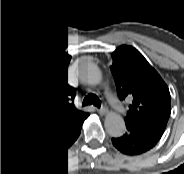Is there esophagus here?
I'll use <instances>...</instances> for the list:
<instances>
[{
	"label": "esophagus",
	"mask_w": 184,
	"mask_h": 174,
	"mask_svg": "<svg viewBox=\"0 0 184 174\" xmlns=\"http://www.w3.org/2000/svg\"><path fill=\"white\" fill-rule=\"evenodd\" d=\"M102 112H105L106 111V108L105 107H101L100 109Z\"/></svg>",
	"instance_id": "34e87169"
}]
</instances>
